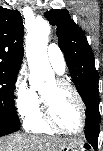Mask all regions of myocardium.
Wrapping results in <instances>:
<instances>
[{"instance_id":"1","label":"myocardium","mask_w":103,"mask_h":151,"mask_svg":"<svg viewBox=\"0 0 103 151\" xmlns=\"http://www.w3.org/2000/svg\"><path fill=\"white\" fill-rule=\"evenodd\" d=\"M55 83L60 88H66L70 90L76 97L79 103L80 109H81V116H82L81 126L77 130H68L59 126L53 119L49 101L44 96L41 95V104H42L41 112H42V119L44 123L50 130L54 132L63 133V134H71V135L82 133L85 130L86 125H87V108L83 100V97L81 96L77 88L71 83H69L68 81H66L65 79H57L55 80Z\"/></svg>"}]
</instances>
